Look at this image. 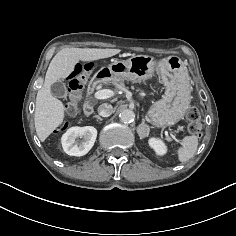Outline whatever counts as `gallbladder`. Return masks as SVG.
Segmentation results:
<instances>
[{"mask_svg": "<svg viewBox=\"0 0 236 236\" xmlns=\"http://www.w3.org/2000/svg\"><path fill=\"white\" fill-rule=\"evenodd\" d=\"M51 94L57 98H65L67 96V88L66 85L61 81L58 80L53 83L50 87Z\"/></svg>", "mask_w": 236, "mask_h": 236, "instance_id": "obj_1", "label": "gallbladder"}]
</instances>
